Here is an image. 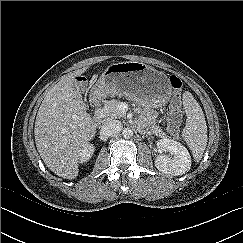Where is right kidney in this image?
Returning a JSON list of instances; mask_svg holds the SVG:
<instances>
[{"instance_id":"right-kidney-1","label":"right kidney","mask_w":243,"mask_h":243,"mask_svg":"<svg viewBox=\"0 0 243 243\" xmlns=\"http://www.w3.org/2000/svg\"><path fill=\"white\" fill-rule=\"evenodd\" d=\"M95 147L92 144H87L79 154V160L81 163L87 162L93 155Z\"/></svg>"}]
</instances>
